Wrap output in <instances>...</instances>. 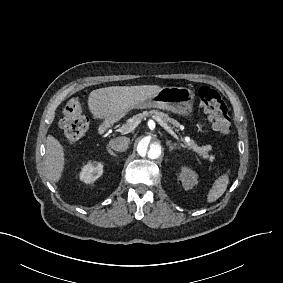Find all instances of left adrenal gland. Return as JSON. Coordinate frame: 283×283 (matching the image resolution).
Listing matches in <instances>:
<instances>
[{"instance_id": "1", "label": "left adrenal gland", "mask_w": 283, "mask_h": 283, "mask_svg": "<svg viewBox=\"0 0 283 283\" xmlns=\"http://www.w3.org/2000/svg\"><path fill=\"white\" fill-rule=\"evenodd\" d=\"M166 144L169 146V150L172 151L173 149L177 148L176 144H172L170 140H167ZM180 148V147H178Z\"/></svg>"}]
</instances>
